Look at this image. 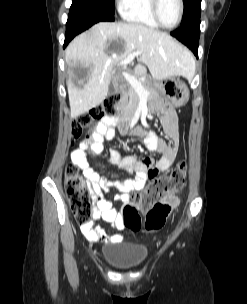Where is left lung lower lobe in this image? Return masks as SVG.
I'll return each instance as SVG.
<instances>
[{"label":"left lung lower lobe","mask_w":247,"mask_h":304,"mask_svg":"<svg viewBox=\"0 0 247 304\" xmlns=\"http://www.w3.org/2000/svg\"><path fill=\"white\" fill-rule=\"evenodd\" d=\"M183 44L187 45L198 57V42L200 36V19L182 25L176 31L171 32Z\"/></svg>","instance_id":"1"}]
</instances>
